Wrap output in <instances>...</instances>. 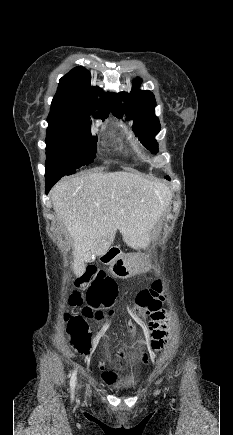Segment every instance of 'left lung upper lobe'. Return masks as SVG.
<instances>
[{
  "mask_svg": "<svg viewBox=\"0 0 233 435\" xmlns=\"http://www.w3.org/2000/svg\"><path fill=\"white\" fill-rule=\"evenodd\" d=\"M139 81L140 79L135 80L130 93H111L109 99L110 110L119 117L126 113L129 120L133 119V128L140 136L142 143L156 154L158 144L154 137L160 131L159 119L154 112L156 101L151 91L138 89L140 86ZM121 101H124V104H120Z\"/></svg>",
  "mask_w": 233,
  "mask_h": 435,
  "instance_id": "1",
  "label": "left lung upper lobe"
}]
</instances>
